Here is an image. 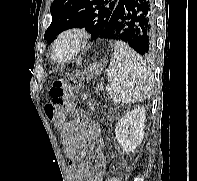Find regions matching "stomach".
<instances>
[{
	"instance_id": "1",
	"label": "stomach",
	"mask_w": 197,
	"mask_h": 181,
	"mask_svg": "<svg viewBox=\"0 0 197 181\" xmlns=\"http://www.w3.org/2000/svg\"><path fill=\"white\" fill-rule=\"evenodd\" d=\"M103 70L102 63H93L87 69H85L82 73L77 74L76 77L83 80V79H90L93 76H98L101 71Z\"/></svg>"
}]
</instances>
